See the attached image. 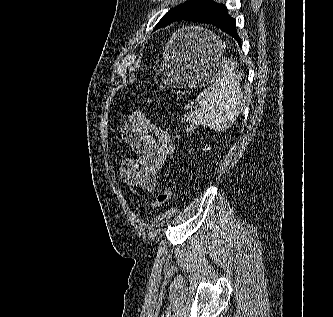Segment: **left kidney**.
<instances>
[{"instance_id":"1","label":"left kidney","mask_w":333,"mask_h":317,"mask_svg":"<svg viewBox=\"0 0 333 317\" xmlns=\"http://www.w3.org/2000/svg\"><path fill=\"white\" fill-rule=\"evenodd\" d=\"M211 148L208 146L207 148L205 147L204 149H203V151H208V150H210Z\"/></svg>"}]
</instances>
